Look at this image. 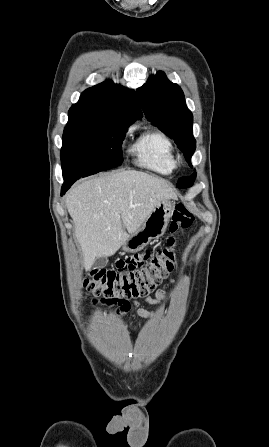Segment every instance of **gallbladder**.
I'll return each mask as SVG.
<instances>
[{
    "label": "gallbladder",
    "mask_w": 269,
    "mask_h": 447,
    "mask_svg": "<svg viewBox=\"0 0 269 447\" xmlns=\"http://www.w3.org/2000/svg\"><path fill=\"white\" fill-rule=\"evenodd\" d=\"M107 257H98L93 263V267H105L107 265Z\"/></svg>",
    "instance_id": "bac80fb5"
}]
</instances>
